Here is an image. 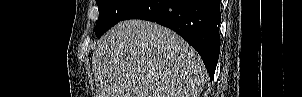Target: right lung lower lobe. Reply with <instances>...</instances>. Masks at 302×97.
Returning a JSON list of instances; mask_svg holds the SVG:
<instances>
[{
    "label": "right lung lower lobe",
    "mask_w": 302,
    "mask_h": 97,
    "mask_svg": "<svg viewBox=\"0 0 302 97\" xmlns=\"http://www.w3.org/2000/svg\"><path fill=\"white\" fill-rule=\"evenodd\" d=\"M127 19L174 30L200 54L213 79L220 51V0H141L122 20Z\"/></svg>",
    "instance_id": "right-lung-lower-lobe-1"
}]
</instances>
